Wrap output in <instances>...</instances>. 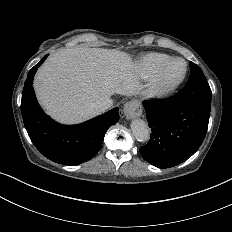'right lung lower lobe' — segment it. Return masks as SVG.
Instances as JSON below:
<instances>
[{"label": "right lung lower lobe", "mask_w": 232, "mask_h": 232, "mask_svg": "<svg viewBox=\"0 0 232 232\" xmlns=\"http://www.w3.org/2000/svg\"><path fill=\"white\" fill-rule=\"evenodd\" d=\"M35 65L25 81L21 112L28 135L48 159L64 165H79L92 159L100 150L107 129L119 120L118 108L78 125H61L46 115L39 106L32 86L38 67Z\"/></svg>", "instance_id": "98d812e1"}]
</instances>
